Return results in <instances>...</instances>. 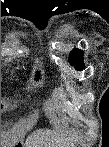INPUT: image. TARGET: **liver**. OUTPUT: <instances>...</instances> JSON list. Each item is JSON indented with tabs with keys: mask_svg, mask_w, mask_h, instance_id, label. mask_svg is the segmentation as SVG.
<instances>
[{
	"mask_svg": "<svg viewBox=\"0 0 109 147\" xmlns=\"http://www.w3.org/2000/svg\"><path fill=\"white\" fill-rule=\"evenodd\" d=\"M78 140L80 136L72 130L58 133L38 130L27 138L25 147H75Z\"/></svg>",
	"mask_w": 109,
	"mask_h": 147,
	"instance_id": "1",
	"label": "liver"
}]
</instances>
